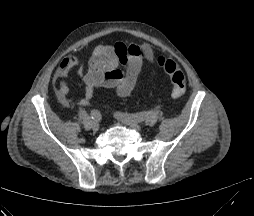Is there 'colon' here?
Listing matches in <instances>:
<instances>
[{"label":"colon","instance_id":"5ec220e1","mask_svg":"<svg viewBox=\"0 0 254 216\" xmlns=\"http://www.w3.org/2000/svg\"><path fill=\"white\" fill-rule=\"evenodd\" d=\"M156 63L170 80L171 96L175 99L181 98L186 91V80L183 72L173 60L165 57H158Z\"/></svg>","mask_w":254,"mask_h":216}]
</instances>
